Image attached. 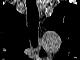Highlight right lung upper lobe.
I'll use <instances>...</instances> for the list:
<instances>
[{"label": "right lung upper lobe", "mask_w": 80, "mask_h": 60, "mask_svg": "<svg viewBox=\"0 0 80 60\" xmlns=\"http://www.w3.org/2000/svg\"><path fill=\"white\" fill-rule=\"evenodd\" d=\"M1 15V40L4 49H11L24 54V49L29 46L26 33V19L19 14L12 5H4L0 9Z\"/></svg>", "instance_id": "obj_1"}]
</instances>
